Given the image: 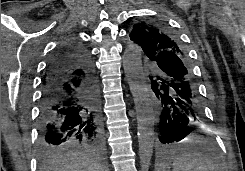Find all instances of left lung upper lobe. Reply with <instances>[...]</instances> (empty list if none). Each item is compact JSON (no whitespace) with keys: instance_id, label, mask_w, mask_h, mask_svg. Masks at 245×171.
I'll list each match as a JSON object with an SVG mask.
<instances>
[{"instance_id":"obj_1","label":"left lung upper lobe","mask_w":245,"mask_h":171,"mask_svg":"<svg viewBox=\"0 0 245 171\" xmlns=\"http://www.w3.org/2000/svg\"><path fill=\"white\" fill-rule=\"evenodd\" d=\"M129 36L153 63L159 55L166 53H173L186 60L177 35L162 21H139L133 25Z\"/></svg>"}]
</instances>
